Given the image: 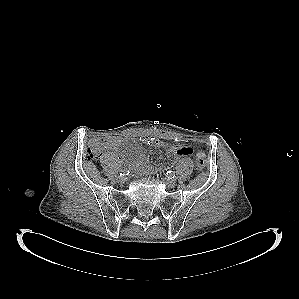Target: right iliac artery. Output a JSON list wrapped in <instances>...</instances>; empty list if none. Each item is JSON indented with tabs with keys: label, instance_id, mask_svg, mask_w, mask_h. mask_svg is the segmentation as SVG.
Returning <instances> with one entry per match:
<instances>
[{
	"label": "right iliac artery",
	"instance_id": "82829eb1",
	"mask_svg": "<svg viewBox=\"0 0 299 299\" xmlns=\"http://www.w3.org/2000/svg\"><path fill=\"white\" fill-rule=\"evenodd\" d=\"M129 173H130V171H129L128 169H122V170L120 171V175H121V176L128 175Z\"/></svg>",
	"mask_w": 299,
	"mask_h": 299
}]
</instances>
